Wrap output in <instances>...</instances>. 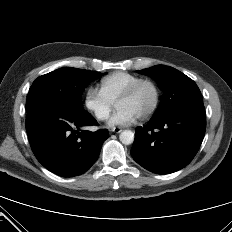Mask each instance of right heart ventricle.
<instances>
[{"mask_svg":"<svg viewBox=\"0 0 232 232\" xmlns=\"http://www.w3.org/2000/svg\"><path fill=\"white\" fill-rule=\"evenodd\" d=\"M140 76L118 71L103 77L99 82V91L112 103L121 96Z\"/></svg>","mask_w":232,"mask_h":232,"instance_id":"1","label":"right heart ventricle"}]
</instances>
